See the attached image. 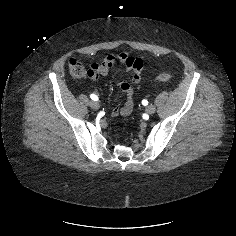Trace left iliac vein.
<instances>
[{
    "instance_id": "4c4485c4",
    "label": "left iliac vein",
    "mask_w": 236,
    "mask_h": 236,
    "mask_svg": "<svg viewBox=\"0 0 236 236\" xmlns=\"http://www.w3.org/2000/svg\"><path fill=\"white\" fill-rule=\"evenodd\" d=\"M145 110L148 114H153L156 111V107L151 104L148 105Z\"/></svg>"
}]
</instances>
